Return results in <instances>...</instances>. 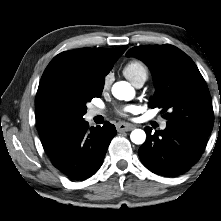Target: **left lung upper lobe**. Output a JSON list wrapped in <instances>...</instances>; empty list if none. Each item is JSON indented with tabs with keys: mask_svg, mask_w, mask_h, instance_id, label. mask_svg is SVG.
<instances>
[{
	"mask_svg": "<svg viewBox=\"0 0 221 221\" xmlns=\"http://www.w3.org/2000/svg\"><path fill=\"white\" fill-rule=\"evenodd\" d=\"M128 57L142 60L151 70L155 94L151 108H162L170 125L188 127L208 137L214 115L212 101L204 78L192 59L169 44L137 46L128 50Z\"/></svg>",
	"mask_w": 221,
	"mask_h": 221,
	"instance_id": "obj_1",
	"label": "left lung upper lobe"
}]
</instances>
